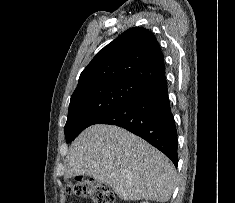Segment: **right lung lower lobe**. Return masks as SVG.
Segmentation results:
<instances>
[{
	"label": "right lung lower lobe",
	"instance_id": "right-lung-lower-lobe-1",
	"mask_svg": "<svg viewBox=\"0 0 235 203\" xmlns=\"http://www.w3.org/2000/svg\"><path fill=\"white\" fill-rule=\"evenodd\" d=\"M122 127L163 152L177 167V130L165 76L99 118L95 124Z\"/></svg>",
	"mask_w": 235,
	"mask_h": 203
}]
</instances>
